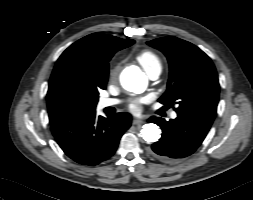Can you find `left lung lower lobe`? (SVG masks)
Wrapping results in <instances>:
<instances>
[{
	"mask_svg": "<svg viewBox=\"0 0 253 200\" xmlns=\"http://www.w3.org/2000/svg\"><path fill=\"white\" fill-rule=\"evenodd\" d=\"M213 120L199 114H178L170 121L152 117L150 121L162 128V136L151 146L149 153L166 163L191 155L205 139Z\"/></svg>",
	"mask_w": 253,
	"mask_h": 200,
	"instance_id": "left-lung-lower-lobe-1",
	"label": "left lung lower lobe"
}]
</instances>
